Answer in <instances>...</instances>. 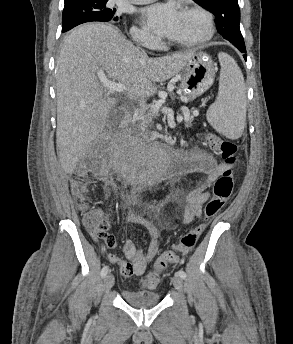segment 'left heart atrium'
Segmentation results:
<instances>
[{
    "mask_svg": "<svg viewBox=\"0 0 293 344\" xmlns=\"http://www.w3.org/2000/svg\"><path fill=\"white\" fill-rule=\"evenodd\" d=\"M181 12L172 3H159L141 10V21L146 28L156 34L171 36L180 20Z\"/></svg>",
    "mask_w": 293,
    "mask_h": 344,
    "instance_id": "1",
    "label": "left heart atrium"
}]
</instances>
